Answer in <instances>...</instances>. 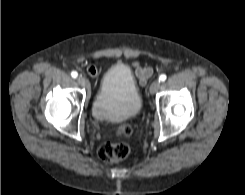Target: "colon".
<instances>
[{
	"label": "colon",
	"mask_w": 245,
	"mask_h": 195,
	"mask_svg": "<svg viewBox=\"0 0 245 195\" xmlns=\"http://www.w3.org/2000/svg\"><path fill=\"white\" fill-rule=\"evenodd\" d=\"M132 133V127L129 124L121 126L118 130L120 137H128ZM130 145L123 141L108 142L103 144L99 150L98 155L101 160L108 163H116L125 159L130 154Z\"/></svg>",
	"instance_id": "1"
}]
</instances>
